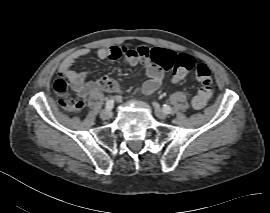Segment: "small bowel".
<instances>
[{"label":"small bowel","mask_w":270,"mask_h":213,"mask_svg":"<svg viewBox=\"0 0 270 213\" xmlns=\"http://www.w3.org/2000/svg\"><path fill=\"white\" fill-rule=\"evenodd\" d=\"M118 47H101L94 50L97 58L104 59H119L120 57H115L114 54ZM157 51H168L173 55H177L175 52L165 48H156ZM90 51L86 48H81L73 51L68 56H66L59 66L60 79L65 88L71 86L80 97L86 99L90 97L96 90L104 89L110 92H119L121 90V85L108 78L107 76L101 77L96 82H86L85 77L82 73L76 72L73 69V65L77 59L86 56ZM123 61L128 66H135L139 62V57L130 56L124 57ZM144 72L148 76V80L144 82L142 90L146 95H150L155 92L163 79L164 69L155 64H147L144 67Z\"/></svg>","instance_id":"small-bowel-1"}]
</instances>
